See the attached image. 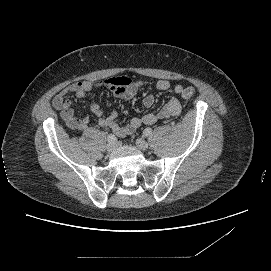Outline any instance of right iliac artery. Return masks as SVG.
<instances>
[{"label":"right iliac artery","mask_w":271,"mask_h":271,"mask_svg":"<svg viewBox=\"0 0 271 271\" xmlns=\"http://www.w3.org/2000/svg\"><path fill=\"white\" fill-rule=\"evenodd\" d=\"M108 142H115L116 141V137L114 134H109L107 137Z\"/></svg>","instance_id":"1"}]
</instances>
